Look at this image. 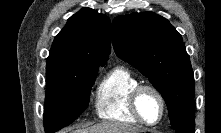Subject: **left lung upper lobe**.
<instances>
[{"label": "left lung upper lobe", "mask_w": 221, "mask_h": 133, "mask_svg": "<svg viewBox=\"0 0 221 133\" xmlns=\"http://www.w3.org/2000/svg\"><path fill=\"white\" fill-rule=\"evenodd\" d=\"M116 54L137 68L162 94L176 133H194V77L181 35L151 12L117 17Z\"/></svg>", "instance_id": "1"}]
</instances>
